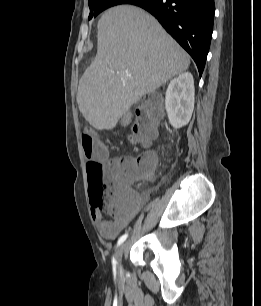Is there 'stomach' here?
I'll list each match as a JSON object with an SVG mask.
<instances>
[{
	"mask_svg": "<svg viewBox=\"0 0 261 306\" xmlns=\"http://www.w3.org/2000/svg\"><path fill=\"white\" fill-rule=\"evenodd\" d=\"M127 121H128V117H125V118L123 119V122L126 123Z\"/></svg>",
	"mask_w": 261,
	"mask_h": 306,
	"instance_id": "obj_1",
	"label": "stomach"
}]
</instances>
